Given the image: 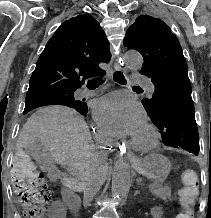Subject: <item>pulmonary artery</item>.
Wrapping results in <instances>:
<instances>
[{"mask_svg":"<svg viewBox=\"0 0 211 218\" xmlns=\"http://www.w3.org/2000/svg\"><path fill=\"white\" fill-rule=\"evenodd\" d=\"M132 80L134 85H142V88L147 91V95H158V90H156L157 85L151 84L150 80H146V75L135 74L132 75ZM98 90L83 89L80 90V98H89L97 95Z\"/></svg>","mask_w":211,"mask_h":218,"instance_id":"obj_1","label":"pulmonary artery"}]
</instances>
